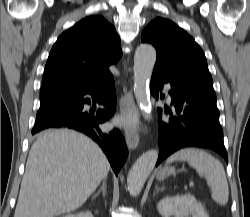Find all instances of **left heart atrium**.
<instances>
[{"label": "left heart atrium", "instance_id": "obj_1", "mask_svg": "<svg viewBox=\"0 0 250 217\" xmlns=\"http://www.w3.org/2000/svg\"><path fill=\"white\" fill-rule=\"evenodd\" d=\"M120 122H123L125 124L134 125L135 124V116H134L133 112H130L127 115H125L122 118V120H120Z\"/></svg>", "mask_w": 250, "mask_h": 217}]
</instances>
